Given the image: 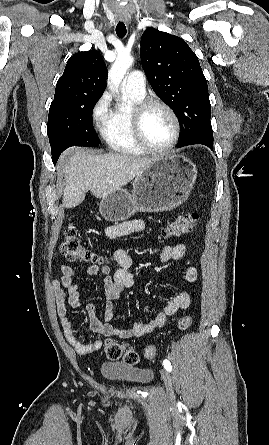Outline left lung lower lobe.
<instances>
[{
    "mask_svg": "<svg viewBox=\"0 0 269 445\" xmlns=\"http://www.w3.org/2000/svg\"><path fill=\"white\" fill-rule=\"evenodd\" d=\"M209 148H210V149H213V144H211V145L209 146Z\"/></svg>",
    "mask_w": 269,
    "mask_h": 445,
    "instance_id": "obj_1",
    "label": "left lung lower lobe"
}]
</instances>
